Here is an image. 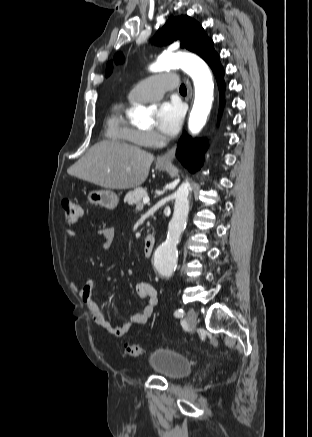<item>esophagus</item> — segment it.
<instances>
[{"instance_id":"obj_1","label":"esophagus","mask_w":312,"mask_h":437,"mask_svg":"<svg viewBox=\"0 0 312 437\" xmlns=\"http://www.w3.org/2000/svg\"><path fill=\"white\" fill-rule=\"evenodd\" d=\"M185 80H186V85H187V96H188V99H191L192 94H193L192 86L187 78H185ZM176 150H177V146L175 145L173 148L168 150L165 154L159 156L157 158V163L158 164H170L171 161L173 160V158L175 157Z\"/></svg>"}]
</instances>
